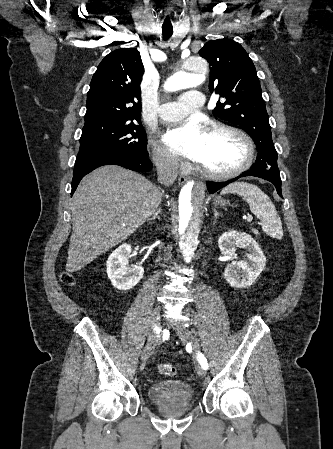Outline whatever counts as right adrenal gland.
<instances>
[{"label":"right adrenal gland","instance_id":"2a0ac1e0","mask_svg":"<svg viewBox=\"0 0 333 449\" xmlns=\"http://www.w3.org/2000/svg\"><path fill=\"white\" fill-rule=\"evenodd\" d=\"M160 213H161V209L158 208V209L156 210V212L154 213V215L152 216V218L148 219V221L155 220V219L160 220V219H161V218H160Z\"/></svg>","mask_w":333,"mask_h":449}]
</instances>
